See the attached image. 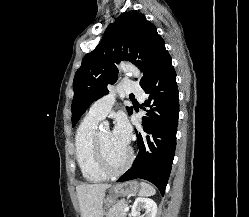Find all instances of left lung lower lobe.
Returning <instances> with one entry per match:
<instances>
[{
  "label": "left lung lower lobe",
  "mask_w": 249,
  "mask_h": 217,
  "mask_svg": "<svg viewBox=\"0 0 249 217\" xmlns=\"http://www.w3.org/2000/svg\"><path fill=\"white\" fill-rule=\"evenodd\" d=\"M149 98L143 104L150 107L143 117V141L137 134L139 151L132 167L117 182L137 178L152 182L164 195L171 172L179 115L176 73L170 55L163 61L150 83L144 88Z\"/></svg>",
  "instance_id": "left-lung-lower-lobe-1"
}]
</instances>
